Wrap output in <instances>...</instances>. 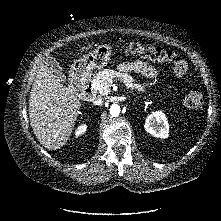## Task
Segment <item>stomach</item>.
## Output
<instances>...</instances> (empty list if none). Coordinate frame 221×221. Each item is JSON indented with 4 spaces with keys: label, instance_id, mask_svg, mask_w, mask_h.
<instances>
[{
    "label": "stomach",
    "instance_id": "stomach-1",
    "mask_svg": "<svg viewBox=\"0 0 221 221\" xmlns=\"http://www.w3.org/2000/svg\"><path fill=\"white\" fill-rule=\"evenodd\" d=\"M112 55V48L108 45H99L94 51L75 60L71 66V73L79 76L88 75L93 69L104 68Z\"/></svg>",
    "mask_w": 221,
    "mask_h": 221
}]
</instances>
